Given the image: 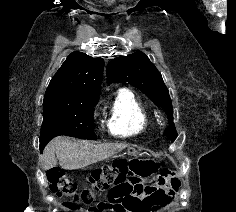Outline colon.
<instances>
[{"mask_svg": "<svg viewBox=\"0 0 236 212\" xmlns=\"http://www.w3.org/2000/svg\"><path fill=\"white\" fill-rule=\"evenodd\" d=\"M157 166L136 160H117L110 165L96 169L88 180V187L79 190L77 183L59 168L48 171L47 178L51 191L61 198L72 202H89L95 193L114 187V180L120 175H151ZM103 206V204H100Z\"/></svg>", "mask_w": 236, "mask_h": 212, "instance_id": "5ec220e1", "label": "colon"}]
</instances>
